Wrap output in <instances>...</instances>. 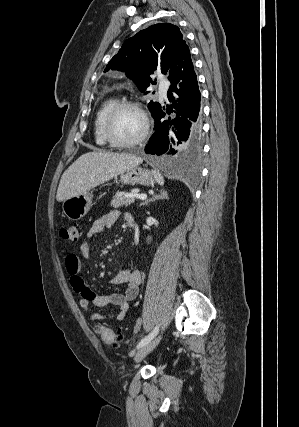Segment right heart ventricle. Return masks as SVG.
<instances>
[{
  "mask_svg": "<svg viewBox=\"0 0 299 427\" xmlns=\"http://www.w3.org/2000/svg\"><path fill=\"white\" fill-rule=\"evenodd\" d=\"M116 97L106 98L98 107L94 117L93 135L96 145L103 149L110 148V144L103 135V123L108 111L117 103Z\"/></svg>",
  "mask_w": 299,
  "mask_h": 427,
  "instance_id": "right-heart-ventricle-1",
  "label": "right heart ventricle"
}]
</instances>
